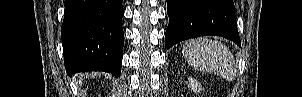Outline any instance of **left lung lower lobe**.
<instances>
[{
	"label": "left lung lower lobe",
	"mask_w": 302,
	"mask_h": 97,
	"mask_svg": "<svg viewBox=\"0 0 302 97\" xmlns=\"http://www.w3.org/2000/svg\"><path fill=\"white\" fill-rule=\"evenodd\" d=\"M165 47L198 36L216 35L241 45L232 0H167Z\"/></svg>",
	"instance_id": "obj_1"
}]
</instances>
